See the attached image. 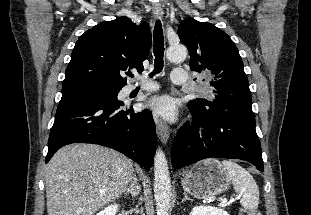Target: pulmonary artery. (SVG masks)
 Returning a JSON list of instances; mask_svg holds the SVG:
<instances>
[{"instance_id": "1", "label": "pulmonary artery", "mask_w": 311, "mask_h": 215, "mask_svg": "<svg viewBox=\"0 0 311 215\" xmlns=\"http://www.w3.org/2000/svg\"><path fill=\"white\" fill-rule=\"evenodd\" d=\"M171 80L175 84H182L188 80V73L182 68H175L171 73ZM135 87L130 88L134 90ZM157 86L151 82H146L143 86L140 87V91H153L156 90Z\"/></svg>"}]
</instances>
